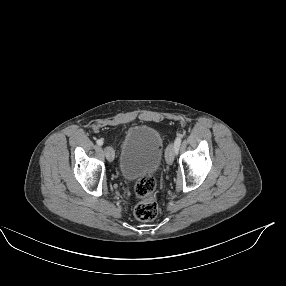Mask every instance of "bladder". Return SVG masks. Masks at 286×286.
<instances>
[{
  "instance_id": "31cf9c89",
  "label": "bladder",
  "mask_w": 286,
  "mask_h": 286,
  "mask_svg": "<svg viewBox=\"0 0 286 286\" xmlns=\"http://www.w3.org/2000/svg\"><path fill=\"white\" fill-rule=\"evenodd\" d=\"M164 141L157 129L136 125L127 130L120 147L118 168L127 181L156 173L162 163Z\"/></svg>"
}]
</instances>
